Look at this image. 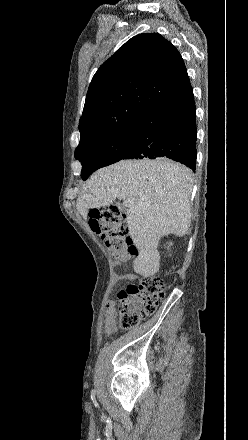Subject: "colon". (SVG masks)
Listing matches in <instances>:
<instances>
[{
	"label": "colon",
	"mask_w": 248,
	"mask_h": 440,
	"mask_svg": "<svg viewBox=\"0 0 248 440\" xmlns=\"http://www.w3.org/2000/svg\"><path fill=\"white\" fill-rule=\"evenodd\" d=\"M89 224L100 234L112 255L124 261L137 251L128 236L125 215L114 205L94 209ZM164 281L153 275H145L137 284L129 285L117 293L114 303L119 310V323L123 329L138 326L143 319L155 313L165 294Z\"/></svg>",
	"instance_id": "5ec220e1"
}]
</instances>
